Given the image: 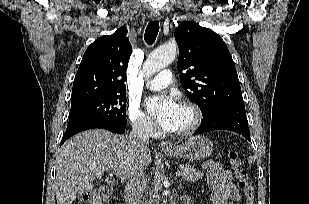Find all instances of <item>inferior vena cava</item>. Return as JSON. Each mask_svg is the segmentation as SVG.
Here are the masks:
<instances>
[{
    "mask_svg": "<svg viewBox=\"0 0 309 204\" xmlns=\"http://www.w3.org/2000/svg\"><path fill=\"white\" fill-rule=\"evenodd\" d=\"M150 128L148 123L140 121L133 126L128 140L130 144L139 152H144L149 141ZM147 188V181L144 169H137L129 177L125 187L126 204H139ZM145 204H151L146 202Z\"/></svg>",
    "mask_w": 309,
    "mask_h": 204,
    "instance_id": "obj_1",
    "label": "inferior vena cava"
}]
</instances>
